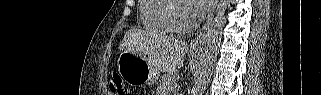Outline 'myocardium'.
<instances>
[{
  "instance_id": "myocardium-1",
  "label": "myocardium",
  "mask_w": 321,
  "mask_h": 95,
  "mask_svg": "<svg viewBox=\"0 0 321 95\" xmlns=\"http://www.w3.org/2000/svg\"><path fill=\"white\" fill-rule=\"evenodd\" d=\"M172 4L169 6L167 10V22L173 29V31L180 33V34H185L189 33L194 28L196 27V21L192 18L188 23H183L180 21L178 18V9L180 7H184L185 5L183 4V1H178V0H172Z\"/></svg>"
}]
</instances>
